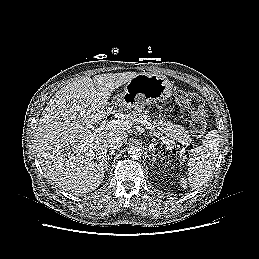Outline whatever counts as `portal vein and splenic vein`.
I'll return each mask as SVG.
<instances>
[{
    "mask_svg": "<svg viewBox=\"0 0 259 259\" xmlns=\"http://www.w3.org/2000/svg\"><path fill=\"white\" fill-rule=\"evenodd\" d=\"M145 125H148L147 129H151L153 130V128L150 126V124L148 122H144ZM132 122L130 120H110L109 122H107L104 126H102L101 129H105V130H115V129H120V130H129L132 127ZM162 142L167 144V145H174L176 144L173 140H169L166 137H162L161 138ZM182 152H184V149L182 148Z\"/></svg>",
    "mask_w": 259,
    "mask_h": 259,
    "instance_id": "portal-vein-and-splenic-vein-1",
    "label": "portal vein and splenic vein"
}]
</instances>
